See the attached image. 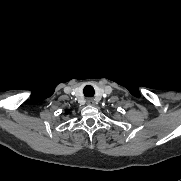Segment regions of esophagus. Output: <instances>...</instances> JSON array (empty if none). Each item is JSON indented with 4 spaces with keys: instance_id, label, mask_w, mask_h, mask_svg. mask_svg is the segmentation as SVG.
<instances>
[{
    "instance_id": "esophagus-1",
    "label": "esophagus",
    "mask_w": 181,
    "mask_h": 181,
    "mask_svg": "<svg viewBox=\"0 0 181 181\" xmlns=\"http://www.w3.org/2000/svg\"><path fill=\"white\" fill-rule=\"evenodd\" d=\"M86 102L90 106H94L96 104L93 98H87Z\"/></svg>"
}]
</instances>
